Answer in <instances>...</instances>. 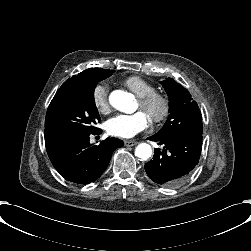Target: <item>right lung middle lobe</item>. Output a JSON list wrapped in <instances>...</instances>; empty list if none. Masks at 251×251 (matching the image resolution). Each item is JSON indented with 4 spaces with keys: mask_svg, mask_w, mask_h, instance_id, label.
Returning a JSON list of instances; mask_svg holds the SVG:
<instances>
[{
    "mask_svg": "<svg viewBox=\"0 0 251 251\" xmlns=\"http://www.w3.org/2000/svg\"><path fill=\"white\" fill-rule=\"evenodd\" d=\"M114 70L90 68L65 82L52 99L45 119V143L77 135H90L100 129L94 101L96 84L110 77Z\"/></svg>",
    "mask_w": 251,
    "mask_h": 251,
    "instance_id": "right-lung-middle-lobe-1",
    "label": "right lung middle lobe"
}]
</instances>
